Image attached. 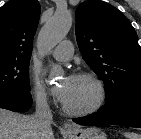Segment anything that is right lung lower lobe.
Instances as JSON below:
<instances>
[{"label": "right lung lower lobe", "instance_id": "1", "mask_svg": "<svg viewBox=\"0 0 141 139\" xmlns=\"http://www.w3.org/2000/svg\"><path fill=\"white\" fill-rule=\"evenodd\" d=\"M32 105V96L27 93L0 94V108L11 111H27Z\"/></svg>", "mask_w": 141, "mask_h": 139}]
</instances>
